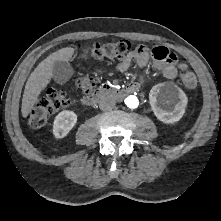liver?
I'll return each mask as SVG.
<instances>
[{"label": "liver", "mask_w": 221, "mask_h": 221, "mask_svg": "<svg viewBox=\"0 0 221 221\" xmlns=\"http://www.w3.org/2000/svg\"><path fill=\"white\" fill-rule=\"evenodd\" d=\"M74 52L75 49L72 47L61 48L40 62L30 74L22 98L21 112L24 118L29 115L34 105L37 103L40 93L50 83L53 76L54 63L56 61L68 62L72 58Z\"/></svg>", "instance_id": "1"}]
</instances>
